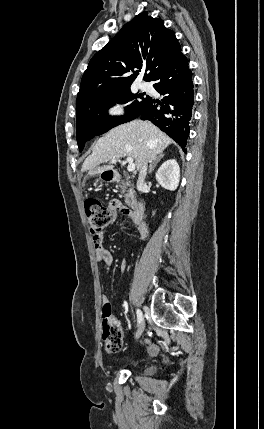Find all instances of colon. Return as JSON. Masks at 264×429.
<instances>
[{
	"label": "colon",
	"mask_w": 264,
	"mask_h": 429,
	"mask_svg": "<svg viewBox=\"0 0 264 429\" xmlns=\"http://www.w3.org/2000/svg\"><path fill=\"white\" fill-rule=\"evenodd\" d=\"M84 207L89 230L93 238H98L102 235L104 229L110 223L115 209H120L122 212L127 213V209L119 203L115 202L110 206H106L93 198L87 199ZM102 341L107 352H117L122 346V328L118 320L111 315V308L108 303L103 306Z\"/></svg>",
	"instance_id": "1"
}]
</instances>
